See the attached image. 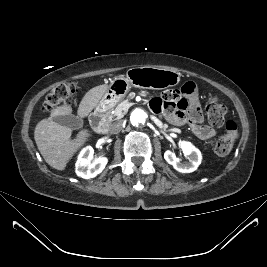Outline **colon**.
I'll return each instance as SVG.
<instances>
[{
  "label": "colon",
  "instance_id": "obj_1",
  "mask_svg": "<svg viewBox=\"0 0 267 267\" xmlns=\"http://www.w3.org/2000/svg\"><path fill=\"white\" fill-rule=\"evenodd\" d=\"M78 90L75 82H64L55 86L46 96L43 109L50 111L57 106L74 99ZM208 120L211 125L220 127L225 125V134L215 143V151L218 155H227L233 148L238 137V127L235 121H225L227 109L216 98H212L206 106Z\"/></svg>",
  "mask_w": 267,
  "mask_h": 267
}]
</instances>
